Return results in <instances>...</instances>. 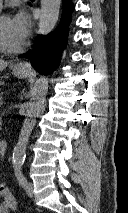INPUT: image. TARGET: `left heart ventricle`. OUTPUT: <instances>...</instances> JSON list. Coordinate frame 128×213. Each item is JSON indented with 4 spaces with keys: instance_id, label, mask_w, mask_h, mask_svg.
Listing matches in <instances>:
<instances>
[{
    "instance_id": "1",
    "label": "left heart ventricle",
    "mask_w": 128,
    "mask_h": 213,
    "mask_svg": "<svg viewBox=\"0 0 128 213\" xmlns=\"http://www.w3.org/2000/svg\"><path fill=\"white\" fill-rule=\"evenodd\" d=\"M0 33L4 42L10 47H18L21 44L14 35L11 19L9 17H4L0 19Z\"/></svg>"
}]
</instances>
